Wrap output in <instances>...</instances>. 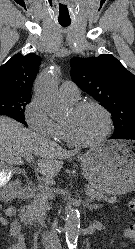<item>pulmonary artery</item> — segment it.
Listing matches in <instances>:
<instances>
[{"label": "pulmonary artery", "mask_w": 135, "mask_h": 249, "mask_svg": "<svg viewBox=\"0 0 135 249\" xmlns=\"http://www.w3.org/2000/svg\"><path fill=\"white\" fill-rule=\"evenodd\" d=\"M59 90L61 96L70 102L77 101L80 95V90L73 81L63 82Z\"/></svg>", "instance_id": "e3ab8cb5"}]
</instances>
